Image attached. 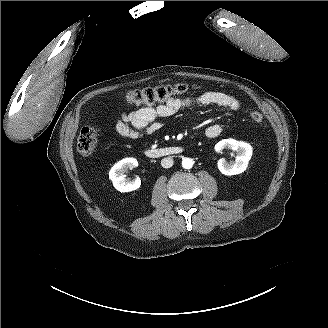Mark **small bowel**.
Returning <instances> with one entry per match:
<instances>
[{
  "label": "small bowel",
  "mask_w": 328,
  "mask_h": 328,
  "mask_svg": "<svg viewBox=\"0 0 328 328\" xmlns=\"http://www.w3.org/2000/svg\"><path fill=\"white\" fill-rule=\"evenodd\" d=\"M209 105L230 111H238L241 107L237 98L217 91L205 92L196 97H172L156 107H143L123 112L115 120V130L122 137L137 140L144 135L158 131L163 125L162 119L171 117L186 108ZM221 132L222 127L219 124H211L205 130V134L209 138H216Z\"/></svg>",
  "instance_id": "small-bowel-1"
}]
</instances>
